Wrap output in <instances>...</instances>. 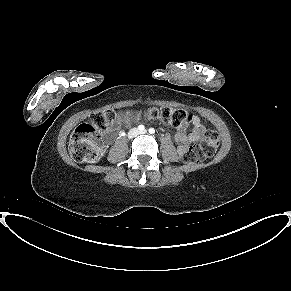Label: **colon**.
Masks as SVG:
<instances>
[{"label":"colon","instance_id":"1","mask_svg":"<svg viewBox=\"0 0 291 291\" xmlns=\"http://www.w3.org/2000/svg\"><path fill=\"white\" fill-rule=\"evenodd\" d=\"M153 119L161 120L172 126H181L189 120V114L183 109L157 108L149 110ZM118 113L113 109H106L93 113L89 119L80 124L72 133L69 140L71 158L78 163H94L101 157L99 135L111 128ZM219 135L214 130H207L203 140L198 145L188 148L184 154L186 163L200 162L214 155L219 145Z\"/></svg>","mask_w":291,"mask_h":291}]
</instances>
